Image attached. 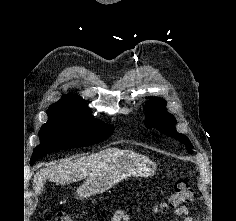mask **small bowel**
Listing matches in <instances>:
<instances>
[{
  "instance_id": "small-bowel-1",
  "label": "small bowel",
  "mask_w": 236,
  "mask_h": 221,
  "mask_svg": "<svg viewBox=\"0 0 236 221\" xmlns=\"http://www.w3.org/2000/svg\"><path fill=\"white\" fill-rule=\"evenodd\" d=\"M176 214L184 217L182 221H197L196 218L189 214L186 206L177 209ZM110 221H130V213L127 210L118 209L113 213Z\"/></svg>"
}]
</instances>
